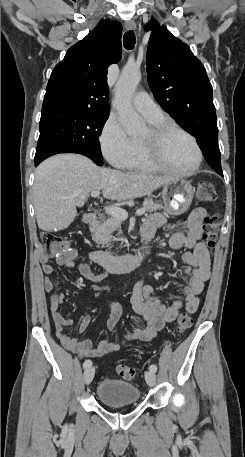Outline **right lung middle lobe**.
I'll list each match as a JSON object with an SVG mask.
<instances>
[{"instance_id": "dd1d6c3e", "label": "right lung middle lobe", "mask_w": 245, "mask_h": 457, "mask_svg": "<svg viewBox=\"0 0 245 457\" xmlns=\"http://www.w3.org/2000/svg\"><path fill=\"white\" fill-rule=\"evenodd\" d=\"M109 112L92 109H59L42 113L35 160L58 153H79L103 164L99 135Z\"/></svg>"}]
</instances>
